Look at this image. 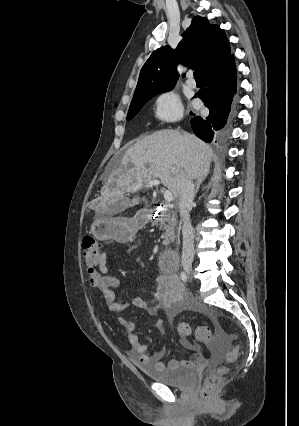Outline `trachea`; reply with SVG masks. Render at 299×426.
<instances>
[{"mask_svg": "<svg viewBox=\"0 0 299 426\" xmlns=\"http://www.w3.org/2000/svg\"><path fill=\"white\" fill-rule=\"evenodd\" d=\"M194 78H195V80H201V75H200V70L199 69H196L194 71Z\"/></svg>", "mask_w": 299, "mask_h": 426, "instance_id": "obj_1", "label": "trachea"}]
</instances>
